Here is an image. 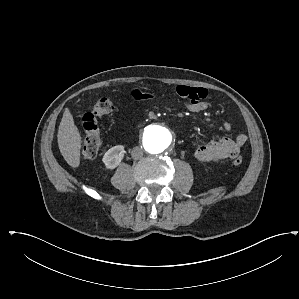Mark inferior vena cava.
I'll list each match as a JSON object with an SVG mask.
<instances>
[{
    "mask_svg": "<svg viewBox=\"0 0 299 299\" xmlns=\"http://www.w3.org/2000/svg\"><path fill=\"white\" fill-rule=\"evenodd\" d=\"M131 156L134 160H138L143 156V149L141 147H134L131 152Z\"/></svg>",
    "mask_w": 299,
    "mask_h": 299,
    "instance_id": "602c4592",
    "label": "inferior vena cava"
}]
</instances>
